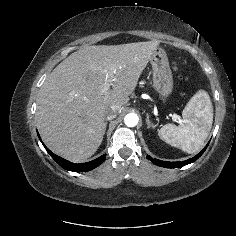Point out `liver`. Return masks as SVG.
<instances>
[{"label": "liver", "mask_w": 236, "mask_h": 236, "mask_svg": "<svg viewBox=\"0 0 236 236\" xmlns=\"http://www.w3.org/2000/svg\"><path fill=\"white\" fill-rule=\"evenodd\" d=\"M159 44L83 46L56 66L37 101L36 122L46 146L72 162L91 157L103 139L105 111L117 105L120 112L129 102ZM108 80L112 90L103 93Z\"/></svg>", "instance_id": "obj_1"}]
</instances>
